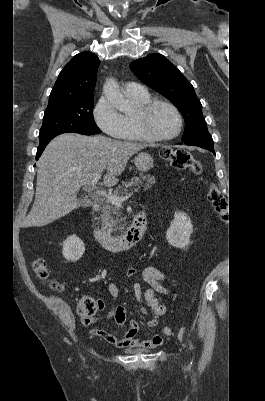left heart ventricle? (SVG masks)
<instances>
[{
    "label": "left heart ventricle",
    "mask_w": 265,
    "mask_h": 401,
    "mask_svg": "<svg viewBox=\"0 0 265 401\" xmlns=\"http://www.w3.org/2000/svg\"><path fill=\"white\" fill-rule=\"evenodd\" d=\"M146 128L148 133L156 138L167 137L178 130L176 115L167 107L159 105L147 116Z\"/></svg>",
    "instance_id": "left-heart-ventricle-1"
}]
</instances>
